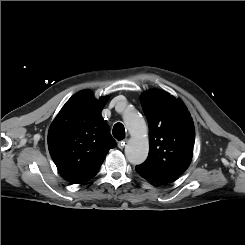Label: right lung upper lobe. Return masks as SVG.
<instances>
[{"label": "right lung upper lobe", "instance_id": "right-lung-upper-lobe-1", "mask_svg": "<svg viewBox=\"0 0 245 245\" xmlns=\"http://www.w3.org/2000/svg\"><path fill=\"white\" fill-rule=\"evenodd\" d=\"M107 97L94 98L89 91L72 96L63 106L48 133V148L61 176L84 183L93 178L108 151L116 147L101 111Z\"/></svg>", "mask_w": 245, "mask_h": 245}]
</instances>
